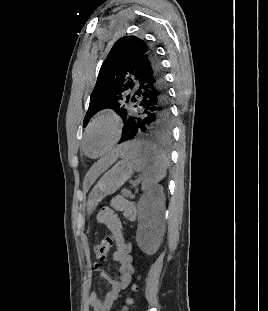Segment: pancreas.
<instances>
[{
  "label": "pancreas",
  "mask_w": 268,
  "mask_h": 311,
  "mask_svg": "<svg viewBox=\"0 0 268 311\" xmlns=\"http://www.w3.org/2000/svg\"><path fill=\"white\" fill-rule=\"evenodd\" d=\"M121 209L124 210V216L129 218L133 215V213L135 212V205L133 202H129L123 198H121Z\"/></svg>",
  "instance_id": "cf45deb5"
}]
</instances>
